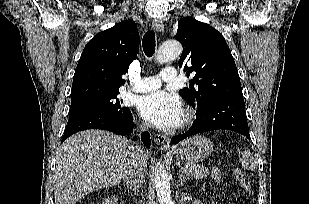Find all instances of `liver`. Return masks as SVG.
Here are the masks:
<instances>
[{"instance_id": "liver-1", "label": "liver", "mask_w": 309, "mask_h": 204, "mask_svg": "<svg viewBox=\"0 0 309 204\" xmlns=\"http://www.w3.org/2000/svg\"><path fill=\"white\" fill-rule=\"evenodd\" d=\"M134 145L125 137L101 130H86L68 138L57 150L55 203L75 204L88 193L119 184Z\"/></svg>"}]
</instances>
